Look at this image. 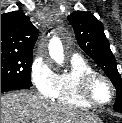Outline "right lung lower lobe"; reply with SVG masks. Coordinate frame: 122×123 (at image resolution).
I'll return each mask as SVG.
<instances>
[{"mask_svg": "<svg viewBox=\"0 0 122 123\" xmlns=\"http://www.w3.org/2000/svg\"><path fill=\"white\" fill-rule=\"evenodd\" d=\"M29 88L30 87L15 81L1 80V93L11 91V90L29 89Z\"/></svg>", "mask_w": 122, "mask_h": 123, "instance_id": "1", "label": "right lung lower lobe"}]
</instances>
